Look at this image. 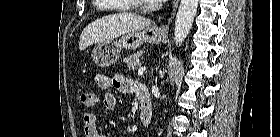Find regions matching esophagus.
Segmentation results:
<instances>
[{"instance_id": "34e87169", "label": "esophagus", "mask_w": 280, "mask_h": 137, "mask_svg": "<svg viewBox=\"0 0 280 137\" xmlns=\"http://www.w3.org/2000/svg\"><path fill=\"white\" fill-rule=\"evenodd\" d=\"M178 5H179V0H174V2H173V12H172L171 17L168 19L167 23L155 26V30L157 32L162 33V34H166L168 32V29H169V27H170V25L173 21V18L176 14Z\"/></svg>"}]
</instances>
